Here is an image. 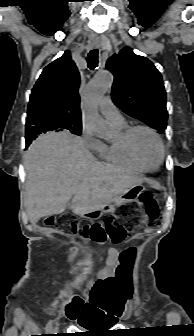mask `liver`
I'll return each instance as SVG.
<instances>
[{
  "label": "liver",
  "mask_w": 194,
  "mask_h": 336,
  "mask_svg": "<svg viewBox=\"0 0 194 336\" xmlns=\"http://www.w3.org/2000/svg\"><path fill=\"white\" fill-rule=\"evenodd\" d=\"M26 206L31 224L62 213L71 200L74 214L114 203L120 195L142 184L138 174L103 164L78 137L67 132L37 138L24 157Z\"/></svg>",
  "instance_id": "6515ba94"
}]
</instances>
